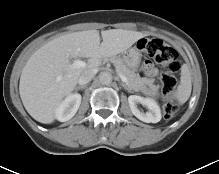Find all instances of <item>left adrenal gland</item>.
Returning a JSON list of instances; mask_svg holds the SVG:
<instances>
[{
    "mask_svg": "<svg viewBox=\"0 0 219 174\" xmlns=\"http://www.w3.org/2000/svg\"><path fill=\"white\" fill-rule=\"evenodd\" d=\"M122 86L128 91V92H132L131 89L129 87H127L126 84L122 83Z\"/></svg>",
    "mask_w": 219,
    "mask_h": 174,
    "instance_id": "a2214340",
    "label": "left adrenal gland"
}]
</instances>
